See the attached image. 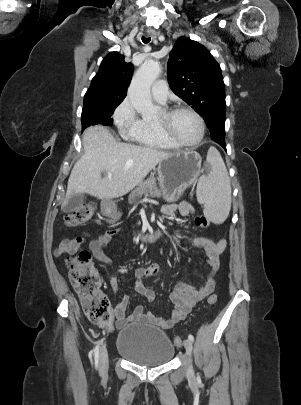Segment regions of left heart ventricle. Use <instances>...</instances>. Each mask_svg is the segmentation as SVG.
<instances>
[{
  "instance_id": "1",
  "label": "left heart ventricle",
  "mask_w": 301,
  "mask_h": 405,
  "mask_svg": "<svg viewBox=\"0 0 301 405\" xmlns=\"http://www.w3.org/2000/svg\"><path fill=\"white\" fill-rule=\"evenodd\" d=\"M162 118V113L157 120ZM170 130L180 140L191 143L194 142L200 133V126L195 118L189 112L183 111L175 114L170 120Z\"/></svg>"
}]
</instances>
